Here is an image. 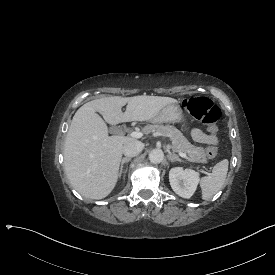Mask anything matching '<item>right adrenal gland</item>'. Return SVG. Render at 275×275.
Returning <instances> with one entry per match:
<instances>
[{
  "mask_svg": "<svg viewBox=\"0 0 275 275\" xmlns=\"http://www.w3.org/2000/svg\"><path fill=\"white\" fill-rule=\"evenodd\" d=\"M130 160H131V158H127V157H125V158L122 159V161H121V166H120V171H119V174H118L119 177H121V174H122V171H123V165H124V163H127V162H129Z\"/></svg>",
  "mask_w": 275,
  "mask_h": 275,
  "instance_id": "1",
  "label": "right adrenal gland"
}]
</instances>
